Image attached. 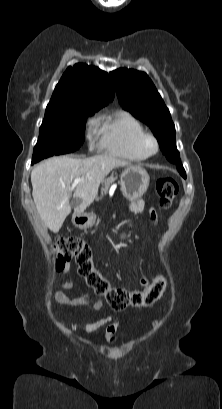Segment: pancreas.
Instances as JSON below:
<instances>
[{
  "mask_svg": "<svg viewBox=\"0 0 222 409\" xmlns=\"http://www.w3.org/2000/svg\"><path fill=\"white\" fill-rule=\"evenodd\" d=\"M114 180H115L114 178H109V179L104 180L102 182V189H101L102 195H103V192L108 191L110 185L114 182Z\"/></svg>",
  "mask_w": 222,
  "mask_h": 409,
  "instance_id": "obj_1",
  "label": "pancreas"
}]
</instances>
